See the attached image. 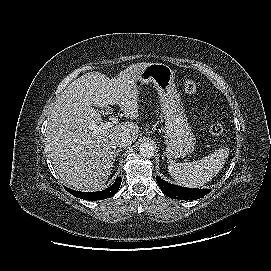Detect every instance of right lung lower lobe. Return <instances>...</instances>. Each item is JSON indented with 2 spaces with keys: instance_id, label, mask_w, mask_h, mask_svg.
I'll return each instance as SVG.
<instances>
[{
  "instance_id": "right-lung-lower-lobe-1",
  "label": "right lung lower lobe",
  "mask_w": 271,
  "mask_h": 271,
  "mask_svg": "<svg viewBox=\"0 0 271 271\" xmlns=\"http://www.w3.org/2000/svg\"><path fill=\"white\" fill-rule=\"evenodd\" d=\"M121 181L122 179L118 177L112 186L98 192H80V191L69 189L67 187H65V189L73 196L84 199V200H102V199H107L114 196L116 192L118 191V189L120 188Z\"/></svg>"
}]
</instances>
